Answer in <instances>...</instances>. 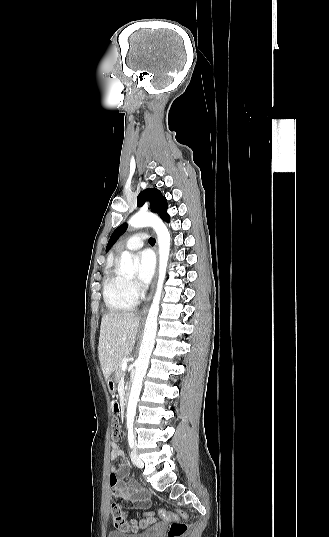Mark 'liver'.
<instances>
[{
  "instance_id": "obj_1",
  "label": "liver",
  "mask_w": 329,
  "mask_h": 537,
  "mask_svg": "<svg viewBox=\"0 0 329 537\" xmlns=\"http://www.w3.org/2000/svg\"><path fill=\"white\" fill-rule=\"evenodd\" d=\"M138 327L139 318L134 313H111L102 317L98 352L106 380L132 351Z\"/></svg>"
}]
</instances>
